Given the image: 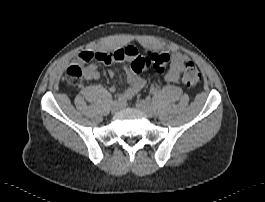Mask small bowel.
Masks as SVG:
<instances>
[{"instance_id": "small-bowel-1", "label": "small bowel", "mask_w": 265, "mask_h": 202, "mask_svg": "<svg viewBox=\"0 0 265 202\" xmlns=\"http://www.w3.org/2000/svg\"><path fill=\"white\" fill-rule=\"evenodd\" d=\"M126 51H131L134 53V56L137 55L138 51L134 47H128L125 48ZM99 55H104L106 56L107 53L105 52H94V51H80L76 56H75V62L81 63L84 67V77L87 80H96L99 78V71L98 68L95 64L91 63L93 60H98V61H103L98 58ZM134 56L131 57H126L125 59L121 61H114L111 62L110 64V69H109V75L110 77L115 76V70L113 68V63H118L122 61H127L128 63L132 61ZM171 59V64L165 74V80L170 83H176L179 81L183 70L184 66L187 62H190V59L187 55L179 53V52H174L170 55ZM125 76H126V83L127 87L126 89L121 93V96L126 99H131L133 98L145 85V81L143 78L138 76L130 66H126L125 69ZM109 91L114 92L115 87L111 86L109 88Z\"/></svg>"}]
</instances>
